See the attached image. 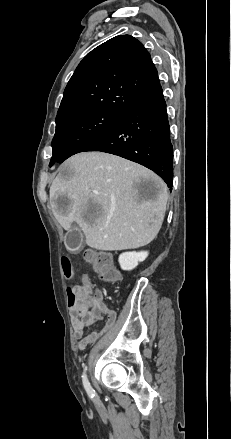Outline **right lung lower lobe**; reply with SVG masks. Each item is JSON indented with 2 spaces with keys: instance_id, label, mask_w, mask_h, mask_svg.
Returning <instances> with one entry per match:
<instances>
[{
  "instance_id": "1",
  "label": "right lung lower lobe",
  "mask_w": 231,
  "mask_h": 439,
  "mask_svg": "<svg viewBox=\"0 0 231 439\" xmlns=\"http://www.w3.org/2000/svg\"><path fill=\"white\" fill-rule=\"evenodd\" d=\"M84 151H102L139 163L172 190L173 147L163 92L131 107Z\"/></svg>"
}]
</instances>
